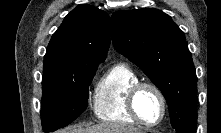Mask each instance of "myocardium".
<instances>
[{
	"instance_id": "f54148a6",
	"label": "myocardium",
	"mask_w": 221,
	"mask_h": 133,
	"mask_svg": "<svg viewBox=\"0 0 221 133\" xmlns=\"http://www.w3.org/2000/svg\"><path fill=\"white\" fill-rule=\"evenodd\" d=\"M143 89L153 90L157 94V96L159 97L160 102H161L162 113H161L159 120L154 123L146 122L140 116L138 109H137V105H136L137 97ZM127 107H128L129 113L137 121V123H139L145 127H150V128L160 125L162 123V121L165 119L166 114H167V100H166V97H165L163 91L157 85L150 83V82H141L140 81L131 87V89L129 90L128 95H127Z\"/></svg>"
}]
</instances>
